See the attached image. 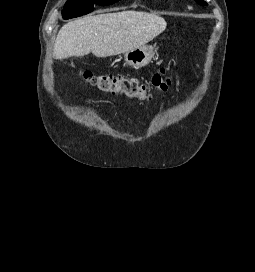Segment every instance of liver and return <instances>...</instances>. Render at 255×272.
<instances>
[{"mask_svg": "<svg viewBox=\"0 0 255 272\" xmlns=\"http://www.w3.org/2000/svg\"><path fill=\"white\" fill-rule=\"evenodd\" d=\"M166 26L164 18L154 13L129 10L88 15L60 29L54 55L56 59H65L90 52L96 57L126 53L146 45Z\"/></svg>", "mask_w": 255, "mask_h": 272, "instance_id": "liver-1", "label": "liver"}]
</instances>
